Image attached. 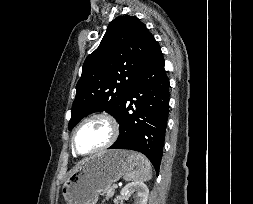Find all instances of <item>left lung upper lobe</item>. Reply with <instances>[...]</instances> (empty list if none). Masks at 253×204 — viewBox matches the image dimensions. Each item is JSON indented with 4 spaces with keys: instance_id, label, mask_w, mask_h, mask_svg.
<instances>
[{
    "instance_id": "5c2ea615",
    "label": "left lung upper lobe",
    "mask_w": 253,
    "mask_h": 204,
    "mask_svg": "<svg viewBox=\"0 0 253 204\" xmlns=\"http://www.w3.org/2000/svg\"><path fill=\"white\" fill-rule=\"evenodd\" d=\"M156 45L153 35L137 17L115 18L99 47L84 62L68 129L93 112L106 111L118 119Z\"/></svg>"
}]
</instances>
